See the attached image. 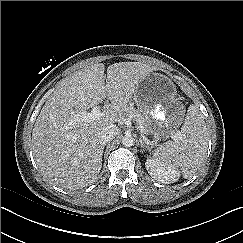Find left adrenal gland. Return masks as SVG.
Returning <instances> with one entry per match:
<instances>
[{
    "instance_id": "1",
    "label": "left adrenal gland",
    "mask_w": 243,
    "mask_h": 243,
    "mask_svg": "<svg viewBox=\"0 0 243 243\" xmlns=\"http://www.w3.org/2000/svg\"><path fill=\"white\" fill-rule=\"evenodd\" d=\"M140 146L143 149H149V147L142 140H140Z\"/></svg>"
}]
</instances>
